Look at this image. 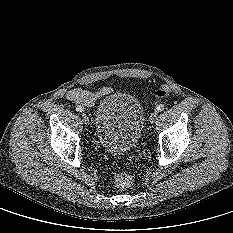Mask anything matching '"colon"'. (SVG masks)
I'll return each instance as SVG.
<instances>
[{
	"label": "colon",
	"mask_w": 233,
	"mask_h": 233,
	"mask_svg": "<svg viewBox=\"0 0 233 233\" xmlns=\"http://www.w3.org/2000/svg\"><path fill=\"white\" fill-rule=\"evenodd\" d=\"M168 94V87L166 85H161L156 91V96L158 98H163ZM114 183L118 188L126 189L132 184V178L127 173H115Z\"/></svg>",
	"instance_id": "obj_1"
}]
</instances>
